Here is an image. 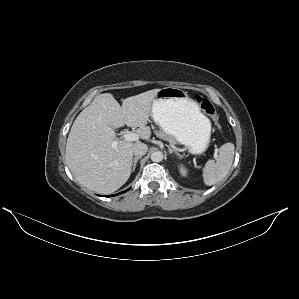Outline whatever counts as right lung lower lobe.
Here are the masks:
<instances>
[{"instance_id": "1", "label": "right lung lower lobe", "mask_w": 299, "mask_h": 299, "mask_svg": "<svg viewBox=\"0 0 299 299\" xmlns=\"http://www.w3.org/2000/svg\"><path fill=\"white\" fill-rule=\"evenodd\" d=\"M123 192H125V191H123ZM123 192H121V193H123ZM121 193H118V194H121ZM118 194H116V195H118ZM114 196V195H113Z\"/></svg>"}]
</instances>
